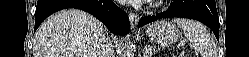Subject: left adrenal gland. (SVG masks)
Listing matches in <instances>:
<instances>
[{
	"mask_svg": "<svg viewBox=\"0 0 249 57\" xmlns=\"http://www.w3.org/2000/svg\"><path fill=\"white\" fill-rule=\"evenodd\" d=\"M155 52L156 50L149 45L144 46L142 51L144 57H151Z\"/></svg>",
	"mask_w": 249,
	"mask_h": 57,
	"instance_id": "obj_1",
	"label": "left adrenal gland"
}]
</instances>
